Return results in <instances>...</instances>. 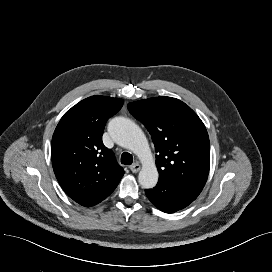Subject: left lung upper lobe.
Listing matches in <instances>:
<instances>
[{"instance_id": "5c2ea615", "label": "left lung upper lobe", "mask_w": 272, "mask_h": 272, "mask_svg": "<svg viewBox=\"0 0 272 272\" xmlns=\"http://www.w3.org/2000/svg\"><path fill=\"white\" fill-rule=\"evenodd\" d=\"M130 113L150 132L159 181H173L202 191L210 167L205 125L182 101L159 96L131 102Z\"/></svg>"}]
</instances>
